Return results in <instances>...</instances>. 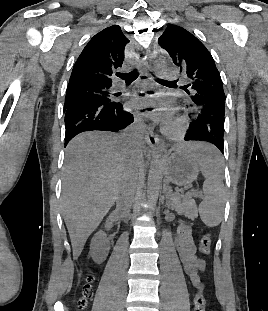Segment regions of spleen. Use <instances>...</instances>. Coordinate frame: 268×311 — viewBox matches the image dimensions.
Returning <instances> with one entry per match:
<instances>
[{"label":"spleen","instance_id":"3e777b00","mask_svg":"<svg viewBox=\"0 0 268 311\" xmlns=\"http://www.w3.org/2000/svg\"><path fill=\"white\" fill-rule=\"evenodd\" d=\"M187 147H191L192 155L205 177L204 198L199 205L200 218L208 227L218 226L225 206L222 157L216 144H206V140H187Z\"/></svg>","mask_w":268,"mask_h":311}]
</instances>
